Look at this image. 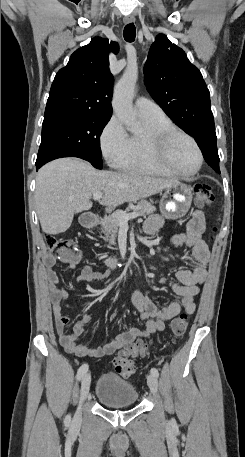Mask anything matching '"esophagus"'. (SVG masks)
<instances>
[{
  "mask_svg": "<svg viewBox=\"0 0 245 457\" xmlns=\"http://www.w3.org/2000/svg\"><path fill=\"white\" fill-rule=\"evenodd\" d=\"M123 21L124 23H132L135 21V17L134 15H127L126 17H124Z\"/></svg>",
  "mask_w": 245,
  "mask_h": 457,
  "instance_id": "obj_1",
  "label": "esophagus"
}]
</instances>
